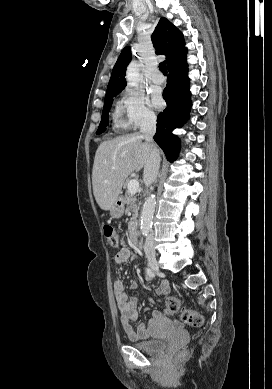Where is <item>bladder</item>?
I'll return each mask as SVG.
<instances>
[{
	"label": "bladder",
	"mask_w": 272,
	"mask_h": 389,
	"mask_svg": "<svg viewBox=\"0 0 272 389\" xmlns=\"http://www.w3.org/2000/svg\"><path fill=\"white\" fill-rule=\"evenodd\" d=\"M131 344L136 349L146 352V353H159L163 352L167 347V340L165 339H158V340H151V341H135L131 340Z\"/></svg>",
	"instance_id": "obj_1"
}]
</instances>
